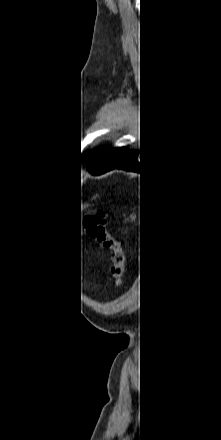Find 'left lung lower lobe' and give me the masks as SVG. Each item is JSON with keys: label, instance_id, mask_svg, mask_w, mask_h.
Returning <instances> with one entry per match:
<instances>
[{"label": "left lung lower lobe", "instance_id": "obj_1", "mask_svg": "<svg viewBox=\"0 0 221 440\" xmlns=\"http://www.w3.org/2000/svg\"><path fill=\"white\" fill-rule=\"evenodd\" d=\"M147 165L144 162L143 155H140V158L138 156V152L134 149H129L127 154L117 163L104 168L100 169L97 174H103L105 172H108L113 169H122L127 171H135L140 172L141 174L144 173L146 170Z\"/></svg>", "mask_w": 221, "mask_h": 440}]
</instances>
